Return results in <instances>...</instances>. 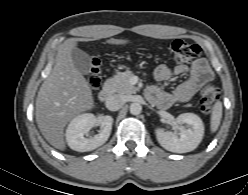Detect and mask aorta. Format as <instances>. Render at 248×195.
<instances>
[{"label": "aorta", "instance_id": "aorta-1", "mask_svg": "<svg viewBox=\"0 0 248 195\" xmlns=\"http://www.w3.org/2000/svg\"><path fill=\"white\" fill-rule=\"evenodd\" d=\"M141 111H142V106L139 103L135 102L130 105V113L132 115H139Z\"/></svg>", "mask_w": 248, "mask_h": 195}]
</instances>
